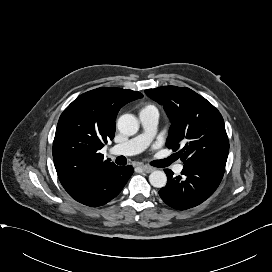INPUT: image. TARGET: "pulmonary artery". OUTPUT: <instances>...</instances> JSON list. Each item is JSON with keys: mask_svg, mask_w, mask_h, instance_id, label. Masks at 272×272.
Returning <instances> with one entry per match:
<instances>
[{"mask_svg": "<svg viewBox=\"0 0 272 272\" xmlns=\"http://www.w3.org/2000/svg\"><path fill=\"white\" fill-rule=\"evenodd\" d=\"M139 120L143 128V132L122 143L110 148L112 155L131 156L142 152L152 141L155 136L159 121V113L155 107L143 108L139 112ZM183 169L182 164H177L174 167L176 173H180Z\"/></svg>", "mask_w": 272, "mask_h": 272, "instance_id": "pulmonary-artery-1", "label": "pulmonary artery"}]
</instances>
